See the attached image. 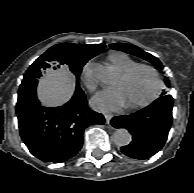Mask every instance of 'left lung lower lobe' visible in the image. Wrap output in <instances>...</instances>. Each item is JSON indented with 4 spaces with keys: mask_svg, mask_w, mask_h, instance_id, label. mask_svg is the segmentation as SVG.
Masks as SVG:
<instances>
[{
    "mask_svg": "<svg viewBox=\"0 0 194 193\" xmlns=\"http://www.w3.org/2000/svg\"><path fill=\"white\" fill-rule=\"evenodd\" d=\"M173 98L164 95L148 107L130 115L114 117L111 125L125 128L132 141L121 147L122 153L135 159H147L165 144L172 123Z\"/></svg>",
    "mask_w": 194,
    "mask_h": 193,
    "instance_id": "0a47b994",
    "label": "left lung lower lobe"
}]
</instances>
